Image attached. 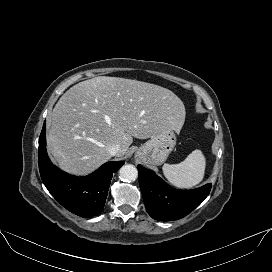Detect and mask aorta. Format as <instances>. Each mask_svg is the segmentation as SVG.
Wrapping results in <instances>:
<instances>
[{"mask_svg":"<svg viewBox=\"0 0 272 272\" xmlns=\"http://www.w3.org/2000/svg\"><path fill=\"white\" fill-rule=\"evenodd\" d=\"M138 177V171L134 165L127 164L120 168L119 178L124 182L135 181Z\"/></svg>","mask_w":272,"mask_h":272,"instance_id":"1","label":"aorta"}]
</instances>
